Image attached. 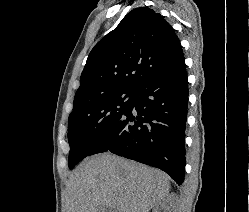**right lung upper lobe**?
Listing matches in <instances>:
<instances>
[{
    "label": "right lung upper lobe",
    "mask_w": 249,
    "mask_h": 212,
    "mask_svg": "<svg viewBox=\"0 0 249 212\" xmlns=\"http://www.w3.org/2000/svg\"><path fill=\"white\" fill-rule=\"evenodd\" d=\"M182 58L180 41L161 15L133 9L90 52L74 108L105 94L135 92Z\"/></svg>",
    "instance_id": "cb5924a9"
}]
</instances>
